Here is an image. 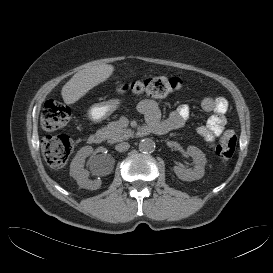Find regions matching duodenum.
Returning a JSON list of instances; mask_svg holds the SVG:
<instances>
[{
  "mask_svg": "<svg viewBox=\"0 0 273 273\" xmlns=\"http://www.w3.org/2000/svg\"><path fill=\"white\" fill-rule=\"evenodd\" d=\"M170 131L169 125L164 120H157L154 122H149L144 125L139 132L143 134H155L162 135ZM105 139L103 132H94L89 136V143L93 145L101 144Z\"/></svg>",
  "mask_w": 273,
  "mask_h": 273,
  "instance_id": "410a0bca",
  "label": "duodenum"
}]
</instances>
